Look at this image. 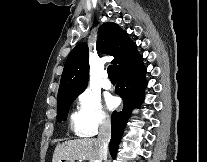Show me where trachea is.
I'll return each mask as SVG.
<instances>
[{
  "instance_id": "obj_1",
  "label": "trachea",
  "mask_w": 207,
  "mask_h": 162,
  "mask_svg": "<svg viewBox=\"0 0 207 162\" xmlns=\"http://www.w3.org/2000/svg\"><path fill=\"white\" fill-rule=\"evenodd\" d=\"M109 79H116L113 66L110 65L107 69Z\"/></svg>"
}]
</instances>
